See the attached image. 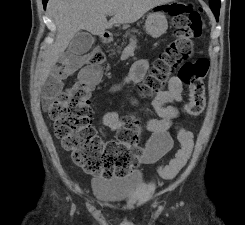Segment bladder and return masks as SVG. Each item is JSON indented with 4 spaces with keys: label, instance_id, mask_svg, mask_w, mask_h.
<instances>
[{
    "label": "bladder",
    "instance_id": "obj_1",
    "mask_svg": "<svg viewBox=\"0 0 245 225\" xmlns=\"http://www.w3.org/2000/svg\"><path fill=\"white\" fill-rule=\"evenodd\" d=\"M92 183L95 197L108 202L128 201L146 185L145 175L140 170L113 178L97 177Z\"/></svg>",
    "mask_w": 245,
    "mask_h": 225
}]
</instances>
